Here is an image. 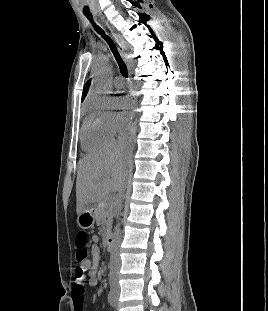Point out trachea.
<instances>
[{"instance_id":"obj_1","label":"trachea","mask_w":268,"mask_h":311,"mask_svg":"<svg viewBox=\"0 0 268 311\" xmlns=\"http://www.w3.org/2000/svg\"><path fill=\"white\" fill-rule=\"evenodd\" d=\"M85 16L90 20V22L93 24L95 30L97 31L98 34H100L103 39L108 43L118 65H119V68H120V72L121 74L124 76V77H128V71H127V67L125 65V63L123 62L115 44L113 43V41L111 40V38L105 34V32L99 27L97 26L94 21H93V17L92 15L90 14H85Z\"/></svg>"}]
</instances>
